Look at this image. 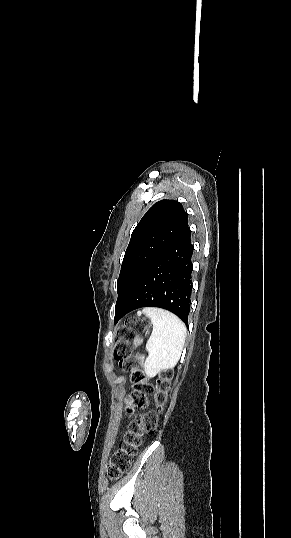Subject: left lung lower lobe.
Here are the masks:
<instances>
[{"label": "left lung lower lobe", "mask_w": 291, "mask_h": 538, "mask_svg": "<svg viewBox=\"0 0 291 538\" xmlns=\"http://www.w3.org/2000/svg\"><path fill=\"white\" fill-rule=\"evenodd\" d=\"M193 249L187 227L153 262L127 303L116 308L114 323L135 309L159 307L173 312L187 325Z\"/></svg>", "instance_id": "obj_1"}]
</instances>
